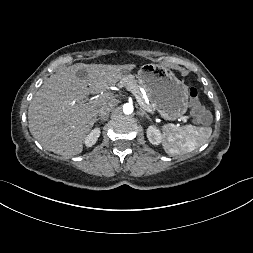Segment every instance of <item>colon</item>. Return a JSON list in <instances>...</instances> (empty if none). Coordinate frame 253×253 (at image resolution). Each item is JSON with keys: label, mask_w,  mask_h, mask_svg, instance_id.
Returning a JSON list of instances; mask_svg holds the SVG:
<instances>
[{"label": "colon", "mask_w": 253, "mask_h": 253, "mask_svg": "<svg viewBox=\"0 0 253 253\" xmlns=\"http://www.w3.org/2000/svg\"><path fill=\"white\" fill-rule=\"evenodd\" d=\"M189 100L192 107V115L197 123L207 124L211 121L210 111L201 103L199 91L192 87L189 90Z\"/></svg>", "instance_id": "obj_1"}]
</instances>
